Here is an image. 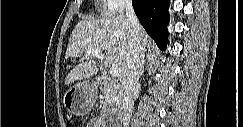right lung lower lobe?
I'll return each mask as SVG.
<instances>
[{
  "mask_svg": "<svg viewBox=\"0 0 243 127\" xmlns=\"http://www.w3.org/2000/svg\"><path fill=\"white\" fill-rule=\"evenodd\" d=\"M170 0H133L134 10L142 26L159 48L164 49L168 40Z\"/></svg>",
  "mask_w": 243,
  "mask_h": 127,
  "instance_id": "98d812e1",
  "label": "right lung lower lobe"
}]
</instances>
